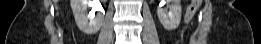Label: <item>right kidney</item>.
Segmentation results:
<instances>
[{"label":"right kidney","mask_w":261,"mask_h":44,"mask_svg":"<svg viewBox=\"0 0 261 44\" xmlns=\"http://www.w3.org/2000/svg\"><path fill=\"white\" fill-rule=\"evenodd\" d=\"M70 4L76 24L81 31L93 34L100 29L104 20V10L99 0H71ZM88 7L92 8L89 13Z\"/></svg>","instance_id":"right-kidney-1"}]
</instances>
